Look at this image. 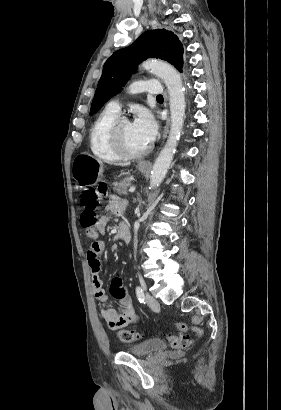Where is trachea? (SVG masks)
<instances>
[{"label": "trachea", "instance_id": "1", "mask_svg": "<svg viewBox=\"0 0 281 410\" xmlns=\"http://www.w3.org/2000/svg\"><path fill=\"white\" fill-rule=\"evenodd\" d=\"M157 98H163V96L162 95H157Z\"/></svg>", "mask_w": 281, "mask_h": 410}]
</instances>
